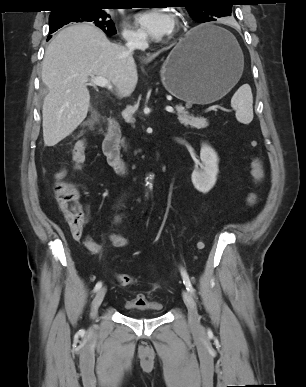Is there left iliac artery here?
I'll list each match as a JSON object with an SVG mask.
<instances>
[{
  "label": "left iliac artery",
  "instance_id": "left-iliac-artery-1",
  "mask_svg": "<svg viewBox=\"0 0 306 387\" xmlns=\"http://www.w3.org/2000/svg\"><path fill=\"white\" fill-rule=\"evenodd\" d=\"M181 275L183 277V283L187 291L190 292L192 295H195V290L190 282L189 276L187 275L186 271L183 268H181Z\"/></svg>",
  "mask_w": 306,
  "mask_h": 387
}]
</instances>
